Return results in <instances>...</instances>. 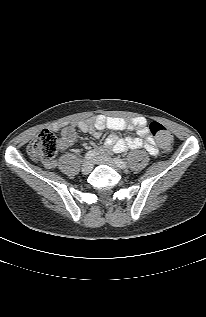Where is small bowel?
I'll return each mask as SVG.
<instances>
[{
	"label": "small bowel",
	"instance_id": "small-bowel-1",
	"mask_svg": "<svg viewBox=\"0 0 206 317\" xmlns=\"http://www.w3.org/2000/svg\"><path fill=\"white\" fill-rule=\"evenodd\" d=\"M79 129L82 132H88L93 137L99 138L101 136V131L104 129H110L113 131L119 130H134L136 129L139 137H126L119 138L115 135H110L105 140V145L107 148L113 150L114 152L121 153L128 149H145L149 154L156 155L158 153V148L155 144L154 139L149 135V130L146 126V121L144 118L138 117L128 122L123 118L119 117H107L104 115H98L96 117L74 122L68 129L72 132L70 136H62L59 141V148L66 149L72 145L75 140V129ZM99 152L102 151L101 148H97ZM55 161H50L46 163L49 168L56 166Z\"/></svg>",
	"mask_w": 206,
	"mask_h": 317
}]
</instances>
